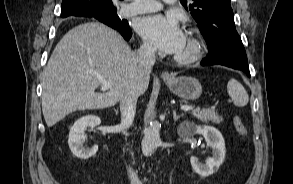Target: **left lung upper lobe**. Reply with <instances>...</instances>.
<instances>
[{
  "label": "left lung upper lobe",
  "mask_w": 293,
  "mask_h": 184,
  "mask_svg": "<svg viewBox=\"0 0 293 184\" xmlns=\"http://www.w3.org/2000/svg\"><path fill=\"white\" fill-rule=\"evenodd\" d=\"M180 0L198 23L200 31L207 42L209 52L217 53L222 39L231 34H238L230 0Z\"/></svg>",
  "instance_id": "left-lung-upper-lobe-1"
}]
</instances>
